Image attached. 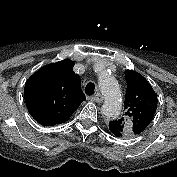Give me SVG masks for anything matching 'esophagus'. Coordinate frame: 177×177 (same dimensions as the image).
<instances>
[{
	"instance_id": "obj_1",
	"label": "esophagus",
	"mask_w": 177,
	"mask_h": 177,
	"mask_svg": "<svg viewBox=\"0 0 177 177\" xmlns=\"http://www.w3.org/2000/svg\"><path fill=\"white\" fill-rule=\"evenodd\" d=\"M91 100L97 103L103 102V97L100 93H96L94 96L91 97Z\"/></svg>"
}]
</instances>
